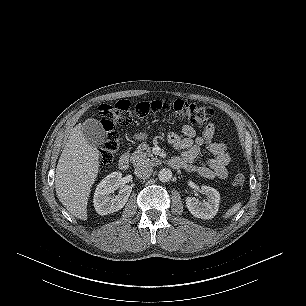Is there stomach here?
<instances>
[{"label":"stomach","instance_id":"0dacf381","mask_svg":"<svg viewBox=\"0 0 306 306\" xmlns=\"http://www.w3.org/2000/svg\"><path fill=\"white\" fill-rule=\"evenodd\" d=\"M137 139L143 140L147 138V134L146 133H139L136 135Z\"/></svg>","mask_w":306,"mask_h":306}]
</instances>
